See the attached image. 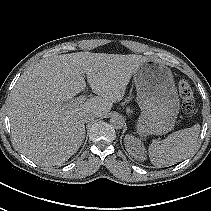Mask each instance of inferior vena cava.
I'll use <instances>...</instances> for the list:
<instances>
[{"label":"inferior vena cava","instance_id":"obj_1","mask_svg":"<svg viewBox=\"0 0 211 211\" xmlns=\"http://www.w3.org/2000/svg\"><path fill=\"white\" fill-rule=\"evenodd\" d=\"M96 116L93 113L84 114L83 120L84 122H89L90 120L94 119Z\"/></svg>","mask_w":211,"mask_h":211}]
</instances>
